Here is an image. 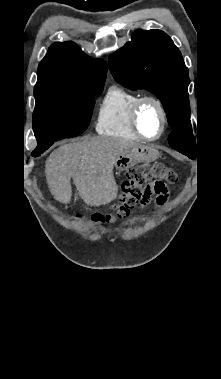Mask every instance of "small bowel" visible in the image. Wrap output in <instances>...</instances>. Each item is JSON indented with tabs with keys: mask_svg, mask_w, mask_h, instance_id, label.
I'll return each mask as SVG.
<instances>
[{
	"mask_svg": "<svg viewBox=\"0 0 221 379\" xmlns=\"http://www.w3.org/2000/svg\"><path fill=\"white\" fill-rule=\"evenodd\" d=\"M167 192L162 194V195H149V196H146L141 202H140V205L141 207H144L146 206L151 200L153 197H156V201H157V204L159 205H163L166 200H167Z\"/></svg>",
	"mask_w": 221,
	"mask_h": 379,
	"instance_id": "c3829d8e",
	"label": "small bowel"
}]
</instances>
